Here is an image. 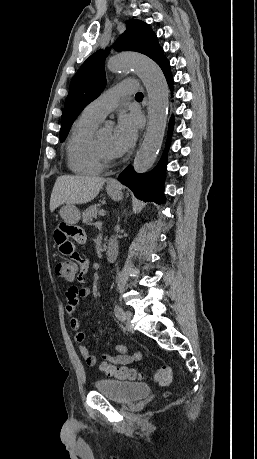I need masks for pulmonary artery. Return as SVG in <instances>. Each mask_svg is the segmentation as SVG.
Wrapping results in <instances>:
<instances>
[{
    "mask_svg": "<svg viewBox=\"0 0 257 459\" xmlns=\"http://www.w3.org/2000/svg\"><path fill=\"white\" fill-rule=\"evenodd\" d=\"M134 85V80L121 81L89 103L83 113L100 121L103 120L108 113L118 106L121 97L131 95L136 91Z\"/></svg>",
    "mask_w": 257,
    "mask_h": 459,
    "instance_id": "1",
    "label": "pulmonary artery"
}]
</instances>
